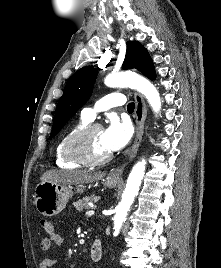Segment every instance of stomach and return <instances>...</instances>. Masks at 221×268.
Segmentation results:
<instances>
[{"label":"stomach","mask_w":221,"mask_h":268,"mask_svg":"<svg viewBox=\"0 0 221 268\" xmlns=\"http://www.w3.org/2000/svg\"><path fill=\"white\" fill-rule=\"evenodd\" d=\"M119 183L118 178H106V185L114 187ZM86 186L56 184L51 182L39 183L34 191V204L37 211L47 217H51L60 213L65 207L69 199L73 196L74 191L83 192ZM75 189V190H74Z\"/></svg>","instance_id":"stomach-1"}]
</instances>
